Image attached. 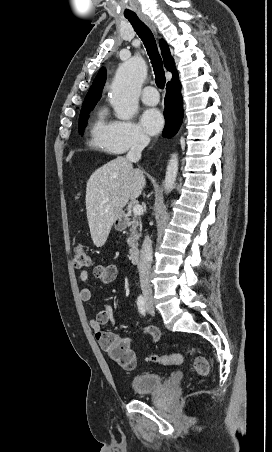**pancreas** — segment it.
<instances>
[{
	"instance_id": "obj_1",
	"label": "pancreas",
	"mask_w": 272,
	"mask_h": 452,
	"mask_svg": "<svg viewBox=\"0 0 272 452\" xmlns=\"http://www.w3.org/2000/svg\"><path fill=\"white\" fill-rule=\"evenodd\" d=\"M131 228H130V236L127 239V243L131 247H137L138 246V239L140 238L141 231V219L140 217L134 216L133 220L130 222Z\"/></svg>"
}]
</instances>
